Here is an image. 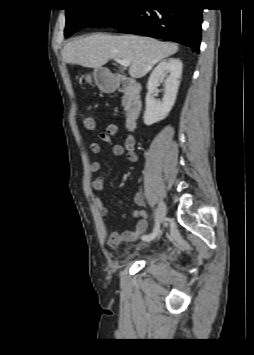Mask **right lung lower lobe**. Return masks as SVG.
Segmentation results:
<instances>
[{
    "instance_id": "98d812e1",
    "label": "right lung lower lobe",
    "mask_w": 254,
    "mask_h": 355,
    "mask_svg": "<svg viewBox=\"0 0 254 355\" xmlns=\"http://www.w3.org/2000/svg\"><path fill=\"white\" fill-rule=\"evenodd\" d=\"M198 0H161L132 5L110 27L186 44L199 52L202 8Z\"/></svg>"
}]
</instances>
